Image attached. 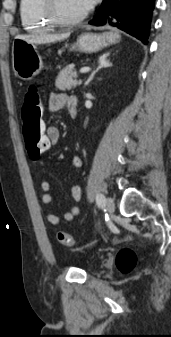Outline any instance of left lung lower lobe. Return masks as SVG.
Returning a JSON list of instances; mask_svg holds the SVG:
<instances>
[{
	"mask_svg": "<svg viewBox=\"0 0 171 337\" xmlns=\"http://www.w3.org/2000/svg\"><path fill=\"white\" fill-rule=\"evenodd\" d=\"M155 0H104L89 22L101 26H115L147 44L151 15Z\"/></svg>",
	"mask_w": 171,
	"mask_h": 337,
	"instance_id": "1",
	"label": "left lung lower lobe"
}]
</instances>
